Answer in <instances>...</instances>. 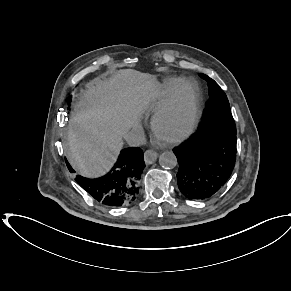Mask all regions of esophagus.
I'll list each match as a JSON object with an SVG mask.
<instances>
[{
  "label": "esophagus",
  "mask_w": 291,
  "mask_h": 291,
  "mask_svg": "<svg viewBox=\"0 0 291 291\" xmlns=\"http://www.w3.org/2000/svg\"><path fill=\"white\" fill-rule=\"evenodd\" d=\"M158 154L153 150H147L144 153V161L146 164H152L156 161Z\"/></svg>",
  "instance_id": "obj_1"
}]
</instances>
